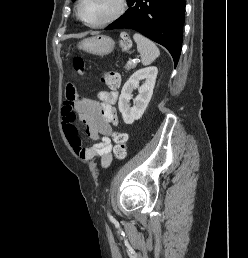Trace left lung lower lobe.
I'll use <instances>...</instances> for the list:
<instances>
[{
    "label": "left lung lower lobe",
    "mask_w": 248,
    "mask_h": 258,
    "mask_svg": "<svg viewBox=\"0 0 248 258\" xmlns=\"http://www.w3.org/2000/svg\"><path fill=\"white\" fill-rule=\"evenodd\" d=\"M128 7L106 30L134 29L163 45L177 65L182 47L185 0H129Z\"/></svg>",
    "instance_id": "obj_1"
}]
</instances>
